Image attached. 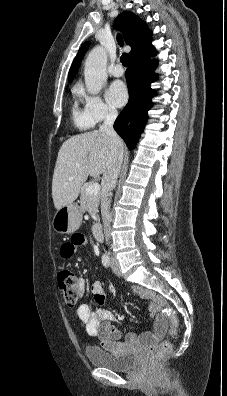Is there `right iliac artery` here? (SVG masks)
<instances>
[{"instance_id":"82829eb1","label":"right iliac artery","mask_w":227,"mask_h":396,"mask_svg":"<svg viewBox=\"0 0 227 396\" xmlns=\"http://www.w3.org/2000/svg\"><path fill=\"white\" fill-rule=\"evenodd\" d=\"M102 264L105 267H109L110 266V259H109L108 255L105 254V255L102 256Z\"/></svg>"}]
</instances>
